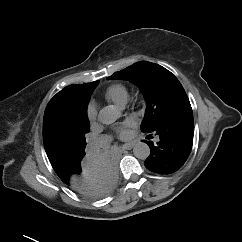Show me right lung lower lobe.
I'll return each mask as SVG.
<instances>
[{
	"label": "right lung lower lobe",
	"mask_w": 242,
	"mask_h": 242,
	"mask_svg": "<svg viewBox=\"0 0 242 242\" xmlns=\"http://www.w3.org/2000/svg\"><path fill=\"white\" fill-rule=\"evenodd\" d=\"M55 172L73 191L91 199L105 197L117 183L116 160L110 154L83 156Z\"/></svg>",
	"instance_id": "98d812e1"
}]
</instances>
